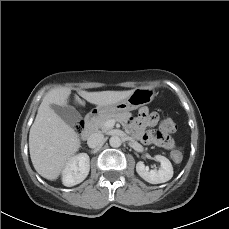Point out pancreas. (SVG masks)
<instances>
[{"label": "pancreas", "instance_id": "obj_1", "mask_svg": "<svg viewBox=\"0 0 229 229\" xmlns=\"http://www.w3.org/2000/svg\"><path fill=\"white\" fill-rule=\"evenodd\" d=\"M130 116L129 112H123V113H117L113 115H105V116H100L94 123V126L96 129H101L102 131L106 132L110 128L106 127L104 124L108 120H115L117 122H124L128 119Z\"/></svg>", "mask_w": 229, "mask_h": 229}]
</instances>
